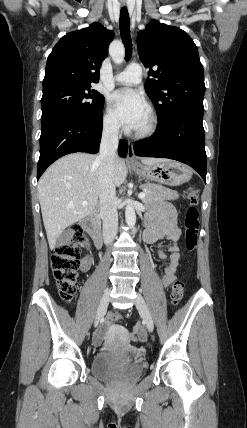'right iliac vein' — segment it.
Masks as SVG:
<instances>
[{
    "instance_id": "1",
    "label": "right iliac vein",
    "mask_w": 247,
    "mask_h": 428,
    "mask_svg": "<svg viewBox=\"0 0 247 428\" xmlns=\"http://www.w3.org/2000/svg\"><path fill=\"white\" fill-rule=\"evenodd\" d=\"M109 300H110V289H107L104 292V294L102 296V299L100 301V304L98 306L97 313H96V318H95V321H94L95 325L98 324L100 318L105 314V312L107 310V307H108V304H109Z\"/></svg>"
}]
</instances>
